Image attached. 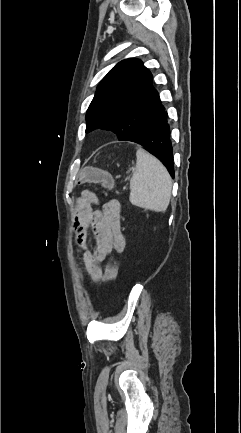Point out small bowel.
Masks as SVG:
<instances>
[{
  "label": "small bowel",
  "mask_w": 241,
  "mask_h": 433,
  "mask_svg": "<svg viewBox=\"0 0 241 433\" xmlns=\"http://www.w3.org/2000/svg\"><path fill=\"white\" fill-rule=\"evenodd\" d=\"M99 204L97 195L85 190L77 199L72 217V228L76 234V243L83 250L84 266L88 274L102 276L103 264L112 251L122 253L126 246L125 237L121 231L120 204L111 200L102 210H93ZM91 226L94 232L96 248L90 251L86 246L87 229Z\"/></svg>",
  "instance_id": "obj_1"
}]
</instances>
